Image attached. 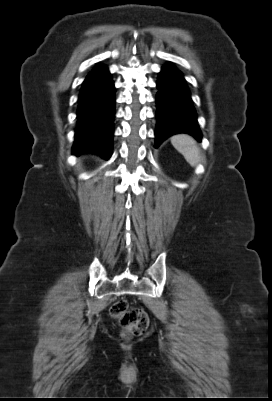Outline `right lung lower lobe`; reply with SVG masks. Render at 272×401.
<instances>
[{
  "instance_id": "obj_1",
  "label": "right lung lower lobe",
  "mask_w": 272,
  "mask_h": 401,
  "mask_svg": "<svg viewBox=\"0 0 272 401\" xmlns=\"http://www.w3.org/2000/svg\"><path fill=\"white\" fill-rule=\"evenodd\" d=\"M115 89L107 67H95L79 95L78 126L73 154L97 153L109 159L112 152Z\"/></svg>"
}]
</instances>
